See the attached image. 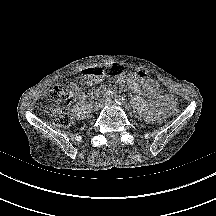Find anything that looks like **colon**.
Segmentation results:
<instances>
[{
  "label": "colon",
  "mask_w": 216,
  "mask_h": 216,
  "mask_svg": "<svg viewBox=\"0 0 216 216\" xmlns=\"http://www.w3.org/2000/svg\"><path fill=\"white\" fill-rule=\"evenodd\" d=\"M78 87L75 84L56 85L48 92L49 105L47 113L50 115L52 122L59 127H69L72 122V116L68 111V105L75 98ZM179 109L175 102L169 108V115L177 116Z\"/></svg>",
  "instance_id": "5ec220e1"
}]
</instances>
